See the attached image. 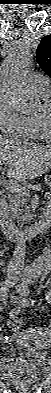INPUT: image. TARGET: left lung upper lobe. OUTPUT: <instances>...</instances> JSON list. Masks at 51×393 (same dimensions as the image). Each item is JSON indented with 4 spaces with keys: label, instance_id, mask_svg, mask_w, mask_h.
I'll return each instance as SVG.
<instances>
[{
    "label": "left lung upper lobe",
    "instance_id": "obj_1",
    "mask_svg": "<svg viewBox=\"0 0 51 393\" xmlns=\"http://www.w3.org/2000/svg\"><path fill=\"white\" fill-rule=\"evenodd\" d=\"M36 56L40 67L51 77V35L41 40Z\"/></svg>",
    "mask_w": 51,
    "mask_h": 393
}]
</instances>
